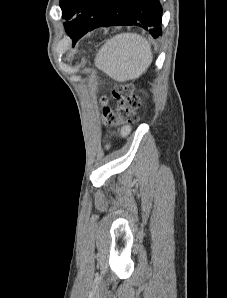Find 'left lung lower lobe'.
<instances>
[{
    "mask_svg": "<svg viewBox=\"0 0 227 298\" xmlns=\"http://www.w3.org/2000/svg\"><path fill=\"white\" fill-rule=\"evenodd\" d=\"M161 17L162 8L159 0H106L93 29L114 25H135L148 30L154 38H157L162 34ZM75 43L76 41L73 44Z\"/></svg>",
    "mask_w": 227,
    "mask_h": 298,
    "instance_id": "obj_1",
    "label": "left lung lower lobe"
}]
</instances>
